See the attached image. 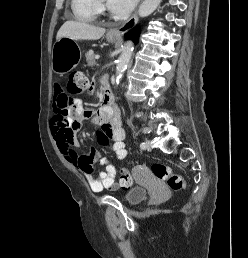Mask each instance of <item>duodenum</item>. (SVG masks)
Returning a JSON list of instances; mask_svg holds the SVG:
<instances>
[{"instance_id":"obj_1","label":"duodenum","mask_w":248,"mask_h":258,"mask_svg":"<svg viewBox=\"0 0 248 258\" xmlns=\"http://www.w3.org/2000/svg\"><path fill=\"white\" fill-rule=\"evenodd\" d=\"M104 85H105V88L103 92V105L101 108L104 112L113 113L114 107H113L112 91L105 80H104Z\"/></svg>"}]
</instances>
